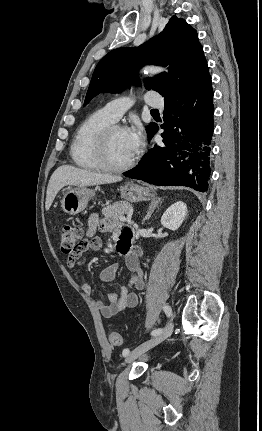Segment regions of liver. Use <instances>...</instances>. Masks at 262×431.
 <instances>
[{
    "instance_id": "obj_1",
    "label": "liver",
    "mask_w": 262,
    "mask_h": 431,
    "mask_svg": "<svg viewBox=\"0 0 262 431\" xmlns=\"http://www.w3.org/2000/svg\"><path fill=\"white\" fill-rule=\"evenodd\" d=\"M120 176L102 174L83 170L70 165L58 167L52 174L46 192L45 208L48 211L57 195L64 186H94L121 181Z\"/></svg>"
}]
</instances>
